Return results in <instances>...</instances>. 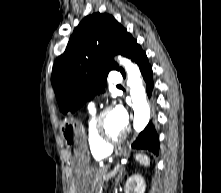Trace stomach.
<instances>
[{
  "label": "stomach",
  "instance_id": "obj_1",
  "mask_svg": "<svg viewBox=\"0 0 221 193\" xmlns=\"http://www.w3.org/2000/svg\"><path fill=\"white\" fill-rule=\"evenodd\" d=\"M60 133L63 134L69 155H72V167L76 172L77 193H94L96 183L100 179L99 169L89 162V154L86 147L87 137L84 133V125L78 120H63Z\"/></svg>",
  "mask_w": 221,
  "mask_h": 193
}]
</instances>
